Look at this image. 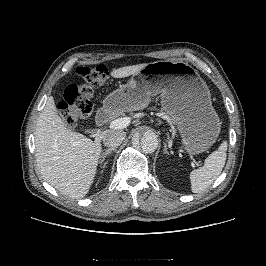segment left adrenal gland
<instances>
[{"mask_svg":"<svg viewBox=\"0 0 266 266\" xmlns=\"http://www.w3.org/2000/svg\"><path fill=\"white\" fill-rule=\"evenodd\" d=\"M164 154H168V155H169V152H168V150H167V145H166V143L164 144Z\"/></svg>","mask_w":266,"mask_h":266,"instance_id":"a2214340","label":"left adrenal gland"}]
</instances>
